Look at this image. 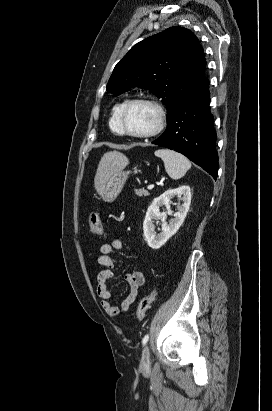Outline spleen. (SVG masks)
<instances>
[{
	"label": "spleen",
	"instance_id": "obj_1",
	"mask_svg": "<svg viewBox=\"0 0 272 411\" xmlns=\"http://www.w3.org/2000/svg\"><path fill=\"white\" fill-rule=\"evenodd\" d=\"M154 154L163 160L167 174L174 180L182 178L191 168L188 158L173 150L159 149Z\"/></svg>",
	"mask_w": 272,
	"mask_h": 411
}]
</instances>
